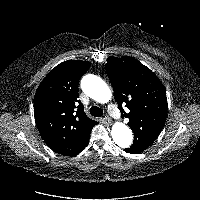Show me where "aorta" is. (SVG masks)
Returning <instances> with one entry per match:
<instances>
[{
    "label": "aorta",
    "instance_id": "obj_1",
    "mask_svg": "<svg viewBox=\"0 0 200 200\" xmlns=\"http://www.w3.org/2000/svg\"><path fill=\"white\" fill-rule=\"evenodd\" d=\"M81 88L84 93L99 103H106L112 97L111 90L106 82L93 74L85 75L82 78ZM111 135L114 142L121 148H128L133 142L131 129L120 122H116L112 126Z\"/></svg>",
    "mask_w": 200,
    "mask_h": 200
}]
</instances>
